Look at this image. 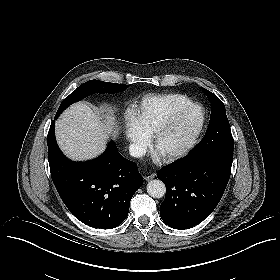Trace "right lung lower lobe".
<instances>
[{
  "label": "right lung lower lobe",
  "mask_w": 280,
  "mask_h": 280,
  "mask_svg": "<svg viewBox=\"0 0 280 280\" xmlns=\"http://www.w3.org/2000/svg\"><path fill=\"white\" fill-rule=\"evenodd\" d=\"M52 121L48 161L53 183L66 207L81 222L112 229L127 217L130 200L143 184L137 165L125 159L111 142L98 158L73 162L60 151Z\"/></svg>",
  "instance_id": "1"
}]
</instances>
